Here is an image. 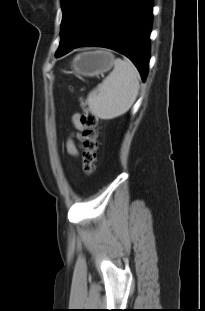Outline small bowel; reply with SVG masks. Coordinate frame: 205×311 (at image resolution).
Masks as SVG:
<instances>
[{
  "label": "small bowel",
  "mask_w": 205,
  "mask_h": 311,
  "mask_svg": "<svg viewBox=\"0 0 205 311\" xmlns=\"http://www.w3.org/2000/svg\"><path fill=\"white\" fill-rule=\"evenodd\" d=\"M72 122L77 130V132L66 141V149L68 154L71 156H77L78 155V146L74 141V138H77L78 140L82 139V125L80 123V114L76 113L72 116Z\"/></svg>",
  "instance_id": "obj_1"
}]
</instances>
